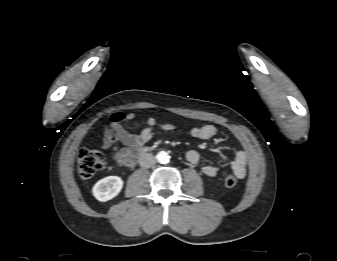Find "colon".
<instances>
[{
	"label": "colon",
	"mask_w": 337,
	"mask_h": 261,
	"mask_svg": "<svg viewBox=\"0 0 337 261\" xmlns=\"http://www.w3.org/2000/svg\"><path fill=\"white\" fill-rule=\"evenodd\" d=\"M109 140L112 145L116 142V136L111 133ZM104 157L97 150L81 149L77 156V170L82 179H89L96 175L104 167ZM224 184L228 188H233L237 184V179L228 174L224 178Z\"/></svg>",
	"instance_id": "1"
}]
</instances>
